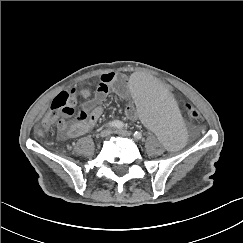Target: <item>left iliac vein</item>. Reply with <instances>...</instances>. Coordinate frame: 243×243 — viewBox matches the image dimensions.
I'll list each match as a JSON object with an SVG mask.
<instances>
[{
    "label": "left iliac vein",
    "instance_id": "1",
    "mask_svg": "<svg viewBox=\"0 0 243 243\" xmlns=\"http://www.w3.org/2000/svg\"><path fill=\"white\" fill-rule=\"evenodd\" d=\"M115 133H117L118 135L124 136V137L131 136V132L130 131L122 130V129L115 130Z\"/></svg>",
    "mask_w": 243,
    "mask_h": 243
}]
</instances>
